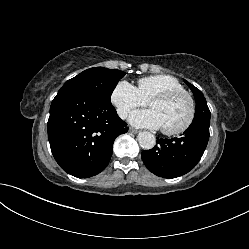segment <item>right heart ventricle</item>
I'll return each instance as SVG.
<instances>
[{
  "instance_id": "obj_1",
  "label": "right heart ventricle",
  "mask_w": 249,
  "mask_h": 249,
  "mask_svg": "<svg viewBox=\"0 0 249 249\" xmlns=\"http://www.w3.org/2000/svg\"><path fill=\"white\" fill-rule=\"evenodd\" d=\"M137 89L142 98L149 102L158 94L174 90H184V86L171 75L158 74L139 79Z\"/></svg>"
}]
</instances>
